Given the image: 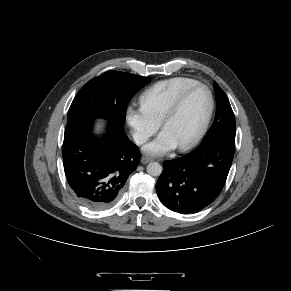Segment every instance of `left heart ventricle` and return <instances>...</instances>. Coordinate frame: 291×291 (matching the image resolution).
Returning a JSON list of instances; mask_svg holds the SVG:
<instances>
[{"instance_id":"left-heart-ventricle-1","label":"left heart ventricle","mask_w":291,"mask_h":291,"mask_svg":"<svg viewBox=\"0 0 291 291\" xmlns=\"http://www.w3.org/2000/svg\"><path fill=\"white\" fill-rule=\"evenodd\" d=\"M209 108L206 90L199 88L191 92L179 111L165 124L168 132L178 145L190 140L199 130Z\"/></svg>"}]
</instances>
